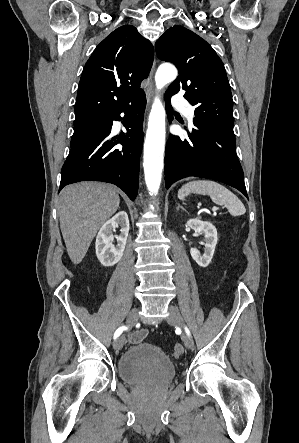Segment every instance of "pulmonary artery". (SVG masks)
Segmentation results:
<instances>
[{"label":"pulmonary artery","instance_id":"obj_1","mask_svg":"<svg viewBox=\"0 0 299 443\" xmlns=\"http://www.w3.org/2000/svg\"><path fill=\"white\" fill-rule=\"evenodd\" d=\"M172 103L175 105L177 109H179L183 115L189 120L193 121L194 119V108L179 94H175L172 97Z\"/></svg>","mask_w":299,"mask_h":443}]
</instances>
